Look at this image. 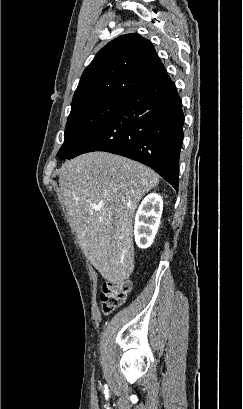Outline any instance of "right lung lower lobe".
I'll use <instances>...</instances> for the list:
<instances>
[{
    "label": "right lung lower lobe",
    "mask_w": 243,
    "mask_h": 409,
    "mask_svg": "<svg viewBox=\"0 0 243 409\" xmlns=\"http://www.w3.org/2000/svg\"><path fill=\"white\" fill-rule=\"evenodd\" d=\"M182 102L168 75L127 97L115 114L66 159L106 151L141 162L178 191Z\"/></svg>",
    "instance_id": "1"
}]
</instances>
